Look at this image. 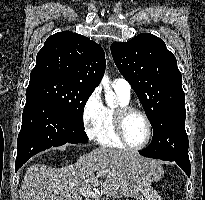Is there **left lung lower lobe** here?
Here are the masks:
<instances>
[{"label":"left lung lower lobe","mask_w":205,"mask_h":200,"mask_svg":"<svg viewBox=\"0 0 205 200\" xmlns=\"http://www.w3.org/2000/svg\"><path fill=\"white\" fill-rule=\"evenodd\" d=\"M185 118V103L166 109L153 126V139L150 146L139 153L146 157L175 162L190 177L191 165Z\"/></svg>","instance_id":"left-lung-lower-lobe-1"}]
</instances>
